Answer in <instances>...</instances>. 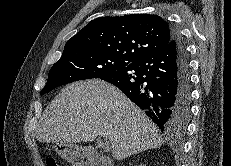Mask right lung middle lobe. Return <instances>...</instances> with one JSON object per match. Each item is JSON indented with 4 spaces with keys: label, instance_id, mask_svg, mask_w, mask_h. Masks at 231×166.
<instances>
[{
    "label": "right lung middle lobe",
    "instance_id": "1",
    "mask_svg": "<svg viewBox=\"0 0 231 166\" xmlns=\"http://www.w3.org/2000/svg\"><path fill=\"white\" fill-rule=\"evenodd\" d=\"M130 63L131 61L126 59L92 51H81L61 56L50 69L41 95L74 81L100 78L126 67Z\"/></svg>",
    "mask_w": 231,
    "mask_h": 166
}]
</instances>
